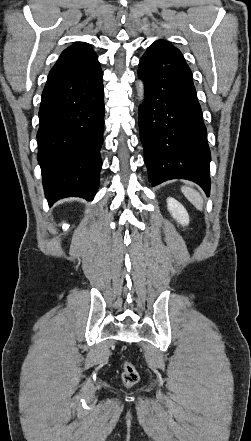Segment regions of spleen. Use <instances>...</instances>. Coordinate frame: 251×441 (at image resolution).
Masks as SVG:
<instances>
[{
    "mask_svg": "<svg viewBox=\"0 0 251 441\" xmlns=\"http://www.w3.org/2000/svg\"><path fill=\"white\" fill-rule=\"evenodd\" d=\"M185 197L198 209H203V200L200 194L190 187L183 186L181 188Z\"/></svg>",
    "mask_w": 251,
    "mask_h": 441,
    "instance_id": "obj_1",
    "label": "spleen"
}]
</instances>
